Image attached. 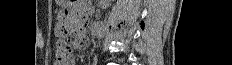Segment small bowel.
<instances>
[{
	"label": "small bowel",
	"mask_w": 232,
	"mask_h": 65,
	"mask_svg": "<svg viewBox=\"0 0 232 65\" xmlns=\"http://www.w3.org/2000/svg\"><path fill=\"white\" fill-rule=\"evenodd\" d=\"M78 12H58L57 13V29L54 30L55 37H62V40H67V43H74L77 46L76 38H86V33H77L79 26H72L69 17H78ZM71 31H74L71 32ZM80 46H87L88 40L81 39ZM75 58L73 55L68 56L64 61L57 62L55 65H74Z\"/></svg>",
	"instance_id": "obj_1"
}]
</instances>
